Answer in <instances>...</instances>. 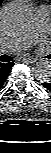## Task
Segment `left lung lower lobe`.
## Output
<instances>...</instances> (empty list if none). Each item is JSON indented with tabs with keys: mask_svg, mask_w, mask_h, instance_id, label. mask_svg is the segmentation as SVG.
<instances>
[{
	"mask_svg": "<svg viewBox=\"0 0 51 153\" xmlns=\"http://www.w3.org/2000/svg\"><path fill=\"white\" fill-rule=\"evenodd\" d=\"M42 85L47 88L49 91H51V82L49 83H42Z\"/></svg>",
	"mask_w": 51,
	"mask_h": 153,
	"instance_id": "left-lung-lower-lobe-1",
	"label": "left lung lower lobe"
}]
</instances>
